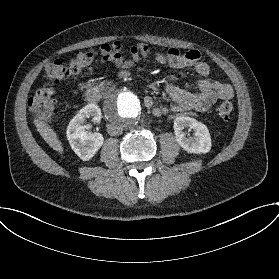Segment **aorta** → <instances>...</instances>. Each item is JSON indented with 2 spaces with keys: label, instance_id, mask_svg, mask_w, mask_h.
Returning <instances> with one entry per match:
<instances>
[{
  "label": "aorta",
  "instance_id": "1",
  "mask_svg": "<svg viewBox=\"0 0 279 279\" xmlns=\"http://www.w3.org/2000/svg\"><path fill=\"white\" fill-rule=\"evenodd\" d=\"M141 108V102L137 95L127 89L112 91L104 102L107 120L111 124H117L123 128L136 123Z\"/></svg>",
  "mask_w": 279,
  "mask_h": 279
}]
</instances>
